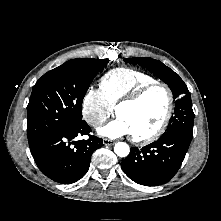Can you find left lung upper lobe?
Wrapping results in <instances>:
<instances>
[{"instance_id": "left-lung-upper-lobe-1", "label": "left lung upper lobe", "mask_w": 221, "mask_h": 221, "mask_svg": "<svg viewBox=\"0 0 221 221\" xmlns=\"http://www.w3.org/2000/svg\"><path fill=\"white\" fill-rule=\"evenodd\" d=\"M125 62L146 67L155 76L164 81L173 92L175 110L163 135L176 134L188 139L193 137L194 113L190 92L183 80L162 62L149 57L126 58Z\"/></svg>"}]
</instances>
